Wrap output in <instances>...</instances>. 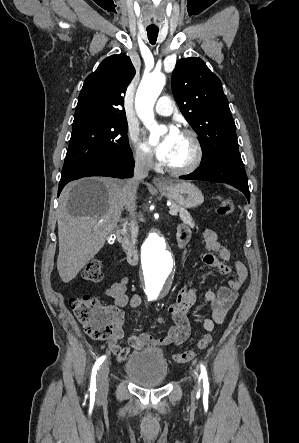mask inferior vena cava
I'll list each match as a JSON object with an SVG mask.
<instances>
[{"label":"inferior vena cava","mask_w":299,"mask_h":443,"mask_svg":"<svg viewBox=\"0 0 299 443\" xmlns=\"http://www.w3.org/2000/svg\"><path fill=\"white\" fill-rule=\"evenodd\" d=\"M152 167L151 156L138 153L135 156V167H134V177L127 180L123 186V195L127 201L126 210L131 216L134 215L136 210V191L139 182L148 176L149 170Z\"/></svg>","instance_id":"1"}]
</instances>
